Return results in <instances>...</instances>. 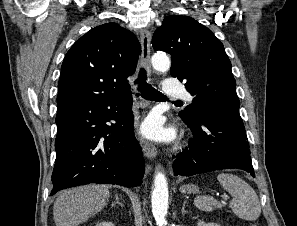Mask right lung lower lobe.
I'll list each match as a JSON object with an SVG mask.
<instances>
[{"instance_id":"right-lung-lower-lobe-1","label":"right lung lower lobe","mask_w":297,"mask_h":226,"mask_svg":"<svg viewBox=\"0 0 297 226\" xmlns=\"http://www.w3.org/2000/svg\"><path fill=\"white\" fill-rule=\"evenodd\" d=\"M131 107V93L58 107L51 195L89 183L127 187L142 183L145 164L133 135ZM110 120L116 124L107 125Z\"/></svg>"}]
</instances>
